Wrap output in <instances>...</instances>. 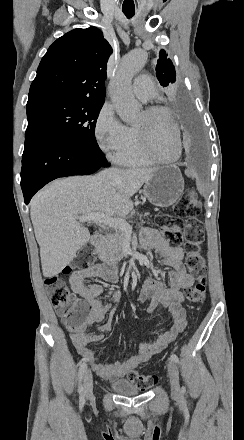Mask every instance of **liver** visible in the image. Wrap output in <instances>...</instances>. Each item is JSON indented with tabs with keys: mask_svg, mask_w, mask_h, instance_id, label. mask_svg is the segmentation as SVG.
<instances>
[{
	"mask_svg": "<svg viewBox=\"0 0 244 440\" xmlns=\"http://www.w3.org/2000/svg\"><path fill=\"white\" fill-rule=\"evenodd\" d=\"M156 168H108L95 176L58 178L35 194L30 216L40 246L44 278H53L69 266L77 250L90 240L89 230L76 222L79 214L127 216L130 200Z\"/></svg>",
	"mask_w": 244,
	"mask_h": 440,
	"instance_id": "6515ba94",
	"label": "liver"
}]
</instances>
